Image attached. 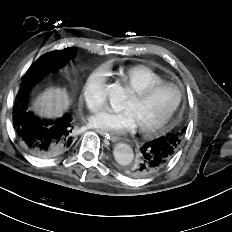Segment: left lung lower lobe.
Returning a JSON list of instances; mask_svg holds the SVG:
<instances>
[{"mask_svg":"<svg viewBox=\"0 0 232 232\" xmlns=\"http://www.w3.org/2000/svg\"><path fill=\"white\" fill-rule=\"evenodd\" d=\"M173 155L171 147L159 139L146 142L139 150L136 163L129 165L130 168L126 173L134 174L131 177L135 178L152 175L165 167Z\"/></svg>","mask_w":232,"mask_h":232,"instance_id":"0a47b994","label":"left lung lower lobe"}]
</instances>
